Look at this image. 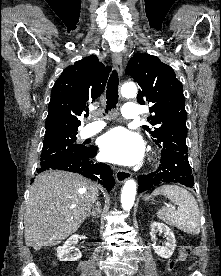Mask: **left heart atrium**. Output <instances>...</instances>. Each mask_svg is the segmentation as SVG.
Returning a JSON list of instances; mask_svg holds the SVG:
<instances>
[{"mask_svg": "<svg viewBox=\"0 0 221 276\" xmlns=\"http://www.w3.org/2000/svg\"><path fill=\"white\" fill-rule=\"evenodd\" d=\"M100 151L102 158L106 161L122 165H133L142 158L144 145L137 134L118 127L102 136Z\"/></svg>", "mask_w": 221, "mask_h": 276, "instance_id": "left-heart-atrium-1", "label": "left heart atrium"}]
</instances>
